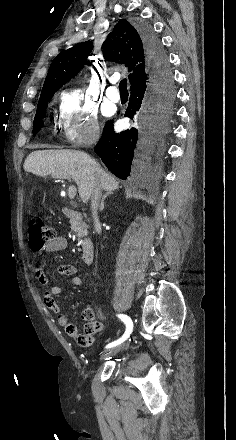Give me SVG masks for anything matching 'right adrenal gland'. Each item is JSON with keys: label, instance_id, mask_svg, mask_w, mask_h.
Here are the masks:
<instances>
[{"label": "right adrenal gland", "instance_id": "1", "mask_svg": "<svg viewBox=\"0 0 236 440\" xmlns=\"http://www.w3.org/2000/svg\"><path fill=\"white\" fill-rule=\"evenodd\" d=\"M110 195V193H105L102 197L101 203H100V211H103L105 208V199Z\"/></svg>", "mask_w": 236, "mask_h": 440}]
</instances>
